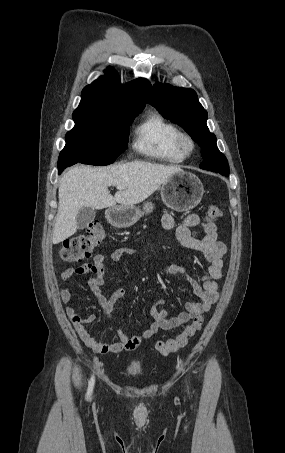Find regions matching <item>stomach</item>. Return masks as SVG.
<instances>
[{
	"label": "stomach",
	"mask_w": 285,
	"mask_h": 453,
	"mask_svg": "<svg viewBox=\"0 0 285 453\" xmlns=\"http://www.w3.org/2000/svg\"><path fill=\"white\" fill-rule=\"evenodd\" d=\"M201 180L190 172L181 171L170 176L161 186V198L164 204L177 212H184L196 207L203 196ZM153 204L146 202L143 211L136 206L112 207L106 211L108 222L118 228L133 225L143 214L153 211Z\"/></svg>",
	"instance_id": "obj_1"
}]
</instances>
